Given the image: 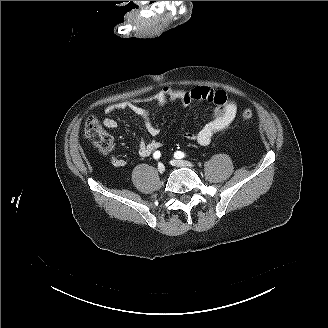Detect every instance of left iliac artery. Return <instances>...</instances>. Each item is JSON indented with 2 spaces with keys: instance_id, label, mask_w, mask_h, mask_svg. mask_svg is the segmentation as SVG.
Masks as SVG:
<instances>
[{
  "instance_id": "1",
  "label": "left iliac artery",
  "mask_w": 328,
  "mask_h": 328,
  "mask_svg": "<svg viewBox=\"0 0 328 328\" xmlns=\"http://www.w3.org/2000/svg\"><path fill=\"white\" fill-rule=\"evenodd\" d=\"M174 157H175L176 159H181V158L184 157V153L181 152V151H177V152H175Z\"/></svg>"
}]
</instances>
